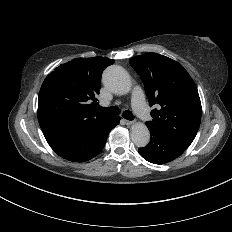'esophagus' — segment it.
<instances>
[{"instance_id": "obj_1", "label": "esophagus", "mask_w": 232, "mask_h": 232, "mask_svg": "<svg viewBox=\"0 0 232 232\" xmlns=\"http://www.w3.org/2000/svg\"><path fill=\"white\" fill-rule=\"evenodd\" d=\"M124 122H125V124H126L127 126H130V125L133 124V121H130V120H125V119H124Z\"/></svg>"}]
</instances>
